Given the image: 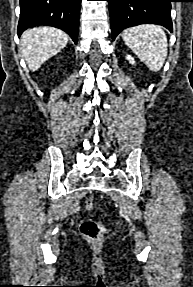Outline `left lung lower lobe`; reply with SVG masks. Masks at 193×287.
Returning a JSON list of instances; mask_svg holds the SVG:
<instances>
[{
    "mask_svg": "<svg viewBox=\"0 0 193 287\" xmlns=\"http://www.w3.org/2000/svg\"><path fill=\"white\" fill-rule=\"evenodd\" d=\"M112 39L125 28L144 23L159 24L172 31L170 16L173 0H107Z\"/></svg>",
    "mask_w": 193,
    "mask_h": 287,
    "instance_id": "1",
    "label": "left lung lower lobe"
}]
</instances>
